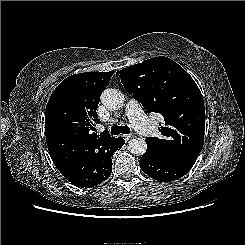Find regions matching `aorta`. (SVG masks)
Wrapping results in <instances>:
<instances>
[{"mask_svg":"<svg viewBox=\"0 0 245 245\" xmlns=\"http://www.w3.org/2000/svg\"><path fill=\"white\" fill-rule=\"evenodd\" d=\"M124 95L117 89H106L101 95L102 104L109 110L115 111L123 107ZM128 150L137 156L143 155L147 150V144L144 139L134 138L128 143Z\"/></svg>","mask_w":245,"mask_h":245,"instance_id":"762f6f07","label":"aorta"}]
</instances>
